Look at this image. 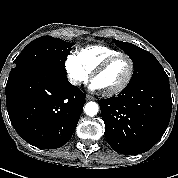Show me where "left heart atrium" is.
Masks as SVG:
<instances>
[{
  "label": "left heart atrium",
  "instance_id": "obj_1",
  "mask_svg": "<svg viewBox=\"0 0 178 178\" xmlns=\"http://www.w3.org/2000/svg\"><path fill=\"white\" fill-rule=\"evenodd\" d=\"M91 89L100 90V87L95 82H93V84L91 85Z\"/></svg>",
  "mask_w": 178,
  "mask_h": 178
}]
</instances>
